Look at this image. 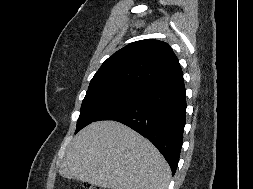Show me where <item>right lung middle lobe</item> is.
<instances>
[{
  "mask_svg": "<svg viewBox=\"0 0 253 189\" xmlns=\"http://www.w3.org/2000/svg\"><path fill=\"white\" fill-rule=\"evenodd\" d=\"M148 91L128 86H106L88 90L77 120V133L91 122L120 110L142 98Z\"/></svg>",
  "mask_w": 253,
  "mask_h": 189,
  "instance_id": "dd1d6c3e",
  "label": "right lung middle lobe"
}]
</instances>
